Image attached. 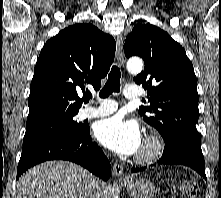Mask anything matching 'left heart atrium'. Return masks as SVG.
Listing matches in <instances>:
<instances>
[{
  "instance_id": "left-heart-atrium-1",
  "label": "left heart atrium",
  "mask_w": 221,
  "mask_h": 198,
  "mask_svg": "<svg viewBox=\"0 0 221 198\" xmlns=\"http://www.w3.org/2000/svg\"><path fill=\"white\" fill-rule=\"evenodd\" d=\"M96 138L112 151L131 155L141 146V132L137 122L120 115L99 121L94 130Z\"/></svg>"
}]
</instances>
